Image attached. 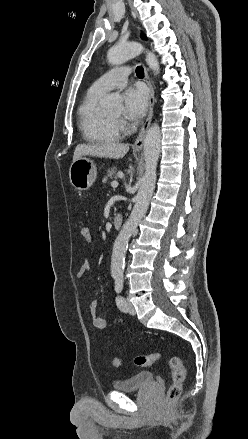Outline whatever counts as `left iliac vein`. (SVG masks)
I'll return each instance as SVG.
<instances>
[{
	"label": "left iliac vein",
	"instance_id": "left-iliac-vein-1",
	"mask_svg": "<svg viewBox=\"0 0 248 439\" xmlns=\"http://www.w3.org/2000/svg\"><path fill=\"white\" fill-rule=\"evenodd\" d=\"M126 304H127L128 312L130 314H135V308H134L133 304L129 300L126 301Z\"/></svg>",
	"mask_w": 248,
	"mask_h": 439
}]
</instances>
